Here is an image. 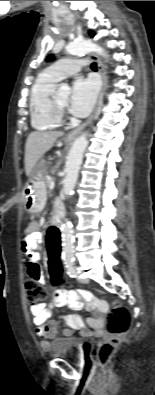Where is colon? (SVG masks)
Here are the masks:
<instances>
[{
	"instance_id": "colon-1",
	"label": "colon",
	"mask_w": 155,
	"mask_h": 395,
	"mask_svg": "<svg viewBox=\"0 0 155 395\" xmlns=\"http://www.w3.org/2000/svg\"><path fill=\"white\" fill-rule=\"evenodd\" d=\"M65 240L61 238L60 228H49L47 235L46 251H49V265H47V272H51L54 288H62L63 283V266L59 260L60 245H64ZM26 301L30 305H35L44 300L47 296L45 287L37 279L30 277L24 283ZM130 310L122 305L115 304L108 315L107 332L108 338L102 341L96 351L95 355L101 364L107 363L114 354L117 346L122 341L125 334L128 332L131 323Z\"/></svg>"
}]
</instances>
